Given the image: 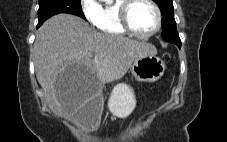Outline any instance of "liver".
Instances as JSON below:
<instances>
[{"label": "liver", "instance_id": "1", "mask_svg": "<svg viewBox=\"0 0 227 142\" xmlns=\"http://www.w3.org/2000/svg\"><path fill=\"white\" fill-rule=\"evenodd\" d=\"M33 53L36 77L49 107L57 115L74 118L102 85L119 80L135 60L156 55L157 49L150 43L99 33L77 16L58 14L36 32ZM72 61H79V66H72ZM59 68H84L92 78L56 81Z\"/></svg>", "mask_w": 227, "mask_h": 142}]
</instances>
